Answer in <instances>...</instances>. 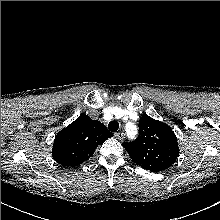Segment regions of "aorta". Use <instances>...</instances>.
I'll return each mask as SVG.
<instances>
[{
	"label": "aorta",
	"instance_id": "1",
	"mask_svg": "<svg viewBox=\"0 0 220 220\" xmlns=\"http://www.w3.org/2000/svg\"><path fill=\"white\" fill-rule=\"evenodd\" d=\"M125 128L127 135L131 138H134L135 135L137 134V127L133 123L129 122L126 124Z\"/></svg>",
	"mask_w": 220,
	"mask_h": 220
}]
</instances>
